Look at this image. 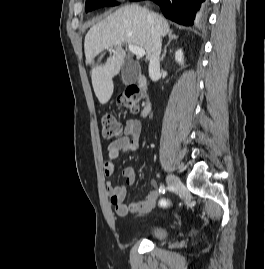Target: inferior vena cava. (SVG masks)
Masks as SVG:
<instances>
[{
  "mask_svg": "<svg viewBox=\"0 0 265 269\" xmlns=\"http://www.w3.org/2000/svg\"><path fill=\"white\" fill-rule=\"evenodd\" d=\"M151 30H152L153 50L149 63V76L153 81H155L160 72V53H161L162 40L155 26H152Z\"/></svg>",
  "mask_w": 265,
  "mask_h": 269,
  "instance_id": "602c4592",
  "label": "inferior vena cava"
}]
</instances>
